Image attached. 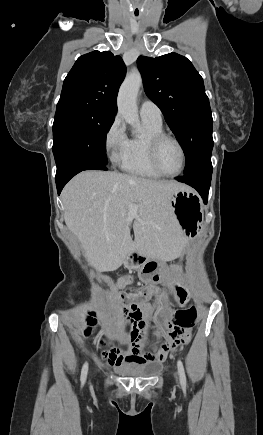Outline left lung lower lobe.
<instances>
[{"label":"left lung lower lobe","mask_w":263,"mask_h":435,"mask_svg":"<svg viewBox=\"0 0 263 435\" xmlns=\"http://www.w3.org/2000/svg\"><path fill=\"white\" fill-rule=\"evenodd\" d=\"M211 177L212 163L211 159H208L186 172L184 176L176 177V180L195 188L203 198L204 203H207Z\"/></svg>","instance_id":"0a47b994"}]
</instances>
